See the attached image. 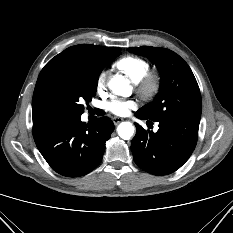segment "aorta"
Wrapping results in <instances>:
<instances>
[{"label":"aorta","mask_w":233,"mask_h":233,"mask_svg":"<svg viewBox=\"0 0 233 233\" xmlns=\"http://www.w3.org/2000/svg\"><path fill=\"white\" fill-rule=\"evenodd\" d=\"M109 88L116 94L121 96H128L131 92V87L127 80L121 76H114L108 83ZM118 135L124 139L129 140L134 134V126L130 122H122L117 128Z\"/></svg>","instance_id":"obj_1"}]
</instances>
